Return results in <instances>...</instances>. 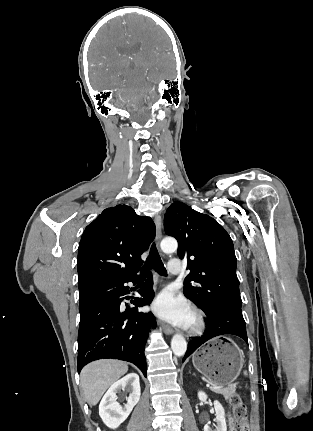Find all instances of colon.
I'll return each instance as SVG.
<instances>
[{"label": "colon", "mask_w": 313, "mask_h": 431, "mask_svg": "<svg viewBox=\"0 0 313 431\" xmlns=\"http://www.w3.org/2000/svg\"><path fill=\"white\" fill-rule=\"evenodd\" d=\"M232 406V431H247V407L239 395L234 394L230 399Z\"/></svg>", "instance_id": "colon-1"}]
</instances>
